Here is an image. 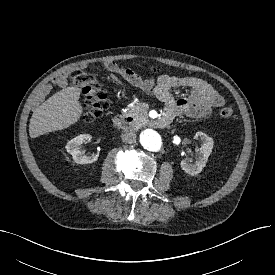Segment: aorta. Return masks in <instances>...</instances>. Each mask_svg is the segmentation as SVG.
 <instances>
[{
	"label": "aorta",
	"instance_id": "aorta-1",
	"mask_svg": "<svg viewBox=\"0 0 275 275\" xmlns=\"http://www.w3.org/2000/svg\"><path fill=\"white\" fill-rule=\"evenodd\" d=\"M140 143L148 151H158L161 148L162 140L156 131L146 129L140 134Z\"/></svg>",
	"mask_w": 275,
	"mask_h": 275
}]
</instances>
